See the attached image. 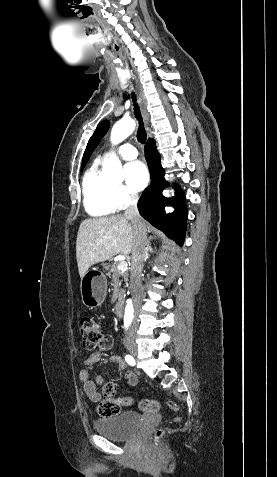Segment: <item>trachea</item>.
Segmentation results:
<instances>
[{"label": "trachea", "mask_w": 277, "mask_h": 477, "mask_svg": "<svg viewBox=\"0 0 277 477\" xmlns=\"http://www.w3.org/2000/svg\"><path fill=\"white\" fill-rule=\"evenodd\" d=\"M132 100H133V104H134V114H135L136 119L139 122V127H138V131H137V139L141 144H144L146 142L147 136H146V131L144 129L142 117H141V114H140V109H139L138 104L136 103V96H135L134 93H132Z\"/></svg>", "instance_id": "1"}]
</instances>
